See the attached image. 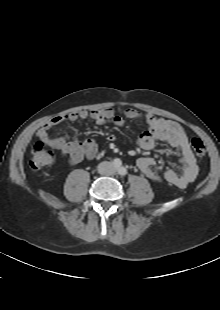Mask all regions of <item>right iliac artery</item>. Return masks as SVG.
<instances>
[{"instance_id":"right-iliac-artery-1","label":"right iliac artery","mask_w":220,"mask_h":310,"mask_svg":"<svg viewBox=\"0 0 220 310\" xmlns=\"http://www.w3.org/2000/svg\"><path fill=\"white\" fill-rule=\"evenodd\" d=\"M121 160L120 159H118V158H116V159H114L113 160V166L117 169V168H119L120 166H121Z\"/></svg>"}]
</instances>
